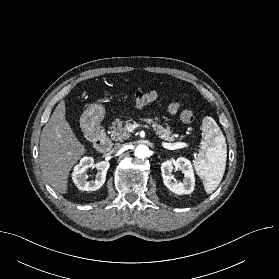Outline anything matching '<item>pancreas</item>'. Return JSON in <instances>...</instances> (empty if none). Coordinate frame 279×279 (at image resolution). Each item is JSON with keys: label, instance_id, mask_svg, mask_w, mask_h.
Instances as JSON below:
<instances>
[{"label": "pancreas", "instance_id": "1", "mask_svg": "<svg viewBox=\"0 0 279 279\" xmlns=\"http://www.w3.org/2000/svg\"><path fill=\"white\" fill-rule=\"evenodd\" d=\"M154 121L153 119L147 118L145 119V122L148 124H152L153 129L155 130L156 134L159 138L168 141L173 142L175 140L172 131L170 127L166 124V127L159 124V118L155 117ZM125 122L121 121L120 119H116L111 123L110 129H111V137L112 140L115 141H123L130 137V134L128 133L127 128L124 126Z\"/></svg>", "mask_w": 279, "mask_h": 279}]
</instances>
